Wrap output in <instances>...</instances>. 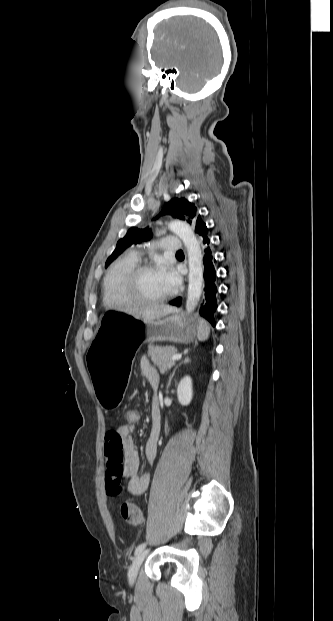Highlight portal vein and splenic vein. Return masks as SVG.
<instances>
[{"mask_svg": "<svg viewBox=\"0 0 333 621\" xmlns=\"http://www.w3.org/2000/svg\"><path fill=\"white\" fill-rule=\"evenodd\" d=\"M181 357H182V355H181V354H175V355H173V356L170 358V360H171V361H176V360L181 359Z\"/></svg>", "mask_w": 333, "mask_h": 621, "instance_id": "1", "label": "portal vein and splenic vein"}]
</instances>
